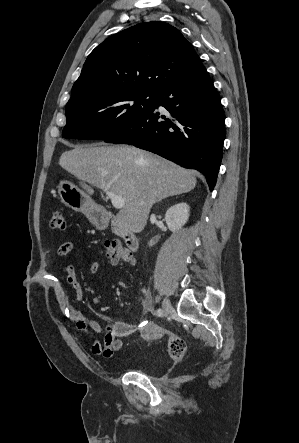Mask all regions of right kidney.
<instances>
[{
	"label": "right kidney",
	"mask_w": 299,
	"mask_h": 443,
	"mask_svg": "<svg viewBox=\"0 0 299 443\" xmlns=\"http://www.w3.org/2000/svg\"><path fill=\"white\" fill-rule=\"evenodd\" d=\"M189 217V206L186 203H179L171 206L165 214V221L172 232L181 229Z\"/></svg>",
	"instance_id": "right-kidney-1"
}]
</instances>
